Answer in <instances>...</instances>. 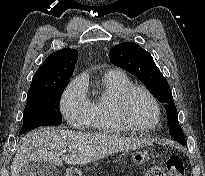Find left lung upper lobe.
<instances>
[{
    "mask_svg": "<svg viewBox=\"0 0 205 176\" xmlns=\"http://www.w3.org/2000/svg\"><path fill=\"white\" fill-rule=\"evenodd\" d=\"M111 62L138 77L159 101L165 103L170 135L182 145H187L178 123L177 109L170 86L156 66L151 54L140 45L125 42L114 46L109 54Z\"/></svg>",
    "mask_w": 205,
    "mask_h": 176,
    "instance_id": "5c2ea615",
    "label": "left lung upper lobe"
}]
</instances>
